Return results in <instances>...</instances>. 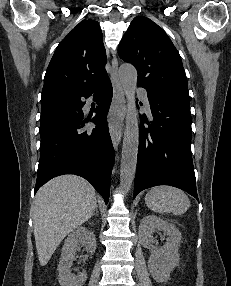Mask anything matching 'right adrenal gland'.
<instances>
[{"label": "right adrenal gland", "mask_w": 231, "mask_h": 286, "mask_svg": "<svg viewBox=\"0 0 231 286\" xmlns=\"http://www.w3.org/2000/svg\"><path fill=\"white\" fill-rule=\"evenodd\" d=\"M93 215H96V216L99 215V212H98V208H97V207H96L95 213H94Z\"/></svg>", "instance_id": "1"}]
</instances>
